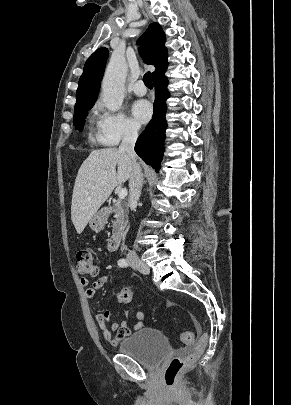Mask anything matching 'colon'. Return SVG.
<instances>
[{
  "mask_svg": "<svg viewBox=\"0 0 291 405\" xmlns=\"http://www.w3.org/2000/svg\"><path fill=\"white\" fill-rule=\"evenodd\" d=\"M77 271L82 275L96 276L99 272V266L89 250L83 249L77 252ZM133 291L129 287H123L118 292V301L122 304L129 303L132 299ZM181 341L185 345H191L194 342V336L191 332H184L181 335ZM208 342V336L202 334L196 342L194 352L184 357H174L170 360L164 371V380L168 386L176 384L181 372L192 366L200 355L204 352Z\"/></svg>",
  "mask_w": 291,
  "mask_h": 405,
  "instance_id": "colon-1",
  "label": "colon"
}]
</instances>
